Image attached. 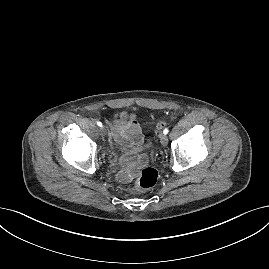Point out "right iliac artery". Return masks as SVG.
<instances>
[{
    "label": "right iliac artery",
    "mask_w": 269,
    "mask_h": 269,
    "mask_svg": "<svg viewBox=\"0 0 269 269\" xmlns=\"http://www.w3.org/2000/svg\"><path fill=\"white\" fill-rule=\"evenodd\" d=\"M97 125H98L99 127H102V123H101L100 121H97Z\"/></svg>",
    "instance_id": "82829eb1"
}]
</instances>
